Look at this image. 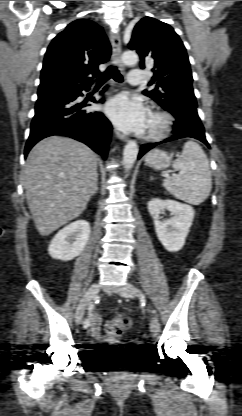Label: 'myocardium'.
<instances>
[{
    "mask_svg": "<svg viewBox=\"0 0 242 416\" xmlns=\"http://www.w3.org/2000/svg\"><path fill=\"white\" fill-rule=\"evenodd\" d=\"M149 116L154 119V123L145 130L143 138L146 140L162 139L171 129L173 121L171 114L161 109H153L149 112Z\"/></svg>",
    "mask_w": 242,
    "mask_h": 416,
    "instance_id": "myocardium-1",
    "label": "myocardium"
}]
</instances>
